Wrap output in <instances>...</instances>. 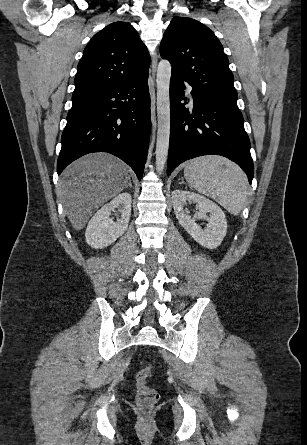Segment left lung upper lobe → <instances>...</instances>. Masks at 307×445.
I'll use <instances>...</instances> for the list:
<instances>
[{"instance_id":"left-lung-upper-lobe-1","label":"left lung upper lobe","mask_w":307,"mask_h":445,"mask_svg":"<svg viewBox=\"0 0 307 445\" xmlns=\"http://www.w3.org/2000/svg\"><path fill=\"white\" fill-rule=\"evenodd\" d=\"M160 54L172 73L205 96L236 103L233 74L223 47L214 33L199 21L174 17L164 33Z\"/></svg>"}]
</instances>
